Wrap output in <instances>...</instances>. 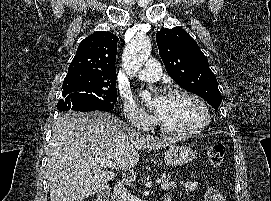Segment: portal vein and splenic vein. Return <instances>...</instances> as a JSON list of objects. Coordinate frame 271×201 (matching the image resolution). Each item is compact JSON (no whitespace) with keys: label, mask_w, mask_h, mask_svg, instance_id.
I'll return each mask as SVG.
<instances>
[{"label":"portal vein and splenic vein","mask_w":271,"mask_h":201,"mask_svg":"<svg viewBox=\"0 0 271 201\" xmlns=\"http://www.w3.org/2000/svg\"><path fill=\"white\" fill-rule=\"evenodd\" d=\"M94 161L101 165H104L113 169H118L116 163L108 158H96ZM156 183L158 184L161 183V179H156Z\"/></svg>","instance_id":"18ae733b"}]
</instances>
